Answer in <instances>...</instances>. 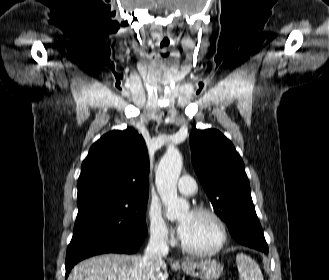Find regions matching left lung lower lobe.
<instances>
[{"instance_id":"left-lung-lower-lobe-1","label":"left lung lower lobe","mask_w":329,"mask_h":280,"mask_svg":"<svg viewBox=\"0 0 329 280\" xmlns=\"http://www.w3.org/2000/svg\"><path fill=\"white\" fill-rule=\"evenodd\" d=\"M232 237L239 242V240L247 238L248 236H253L257 238L256 243L246 242L243 245L255 248L262 252H268V246L265 241L261 225L258 221L256 212L252 215V219L246 226H237L231 232ZM242 244V243H241Z\"/></svg>"}]
</instances>
